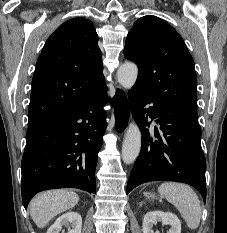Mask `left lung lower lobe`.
Here are the masks:
<instances>
[{"mask_svg":"<svg viewBox=\"0 0 227 233\" xmlns=\"http://www.w3.org/2000/svg\"><path fill=\"white\" fill-rule=\"evenodd\" d=\"M130 109L142 133V147L130 174L126 194L150 181H177L195 187L206 201V160L198 121L173 110L162 101L132 88ZM152 103L150 107H145ZM156 118L154 131L147 127ZM156 139H154L153 137Z\"/></svg>","mask_w":227,"mask_h":233,"instance_id":"1","label":"left lung lower lobe"}]
</instances>
